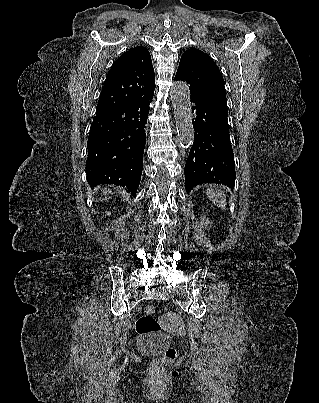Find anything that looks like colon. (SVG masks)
I'll use <instances>...</instances> for the list:
<instances>
[{
    "label": "colon",
    "instance_id": "5ec220e1",
    "mask_svg": "<svg viewBox=\"0 0 319 403\" xmlns=\"http://www.w3.org/2000/svg\"><path fill=\"white\" fill-rule=\"evenodd\" d=\"M155 307L147 306L144 310V314L141 315L136 321V330L142 336H150L157 334L161 331V326L159 322L154 317ZM177 358V352L173 347L166 348L163 353L161 360L155 361L154 365L158 366L161 363H172Z\"/></svg>",
    "mask_w": 319,
    "mask_h": 403
}]
</instances>
